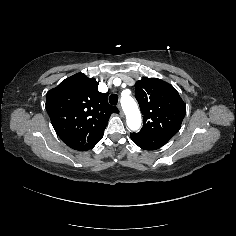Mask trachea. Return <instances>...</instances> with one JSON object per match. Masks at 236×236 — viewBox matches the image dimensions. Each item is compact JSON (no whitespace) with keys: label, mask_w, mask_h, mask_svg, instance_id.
I'll list each match as a JSON object with an SVG mask.
<instances>
[{"label":"trachea","mask_w":236,"mask_h":236,"mask_svg":"<svg viewBox=\"0 0 236 236\" xmlns=\"http://www.w3.org/2000/svg\"><path fill=\"white\" fill-rule=\"evenodd\" d=\"M118 99H119V97H118L117 94H111L110 97H109V103L111 105L115 106L117 104V102H118Z\"/></svg>","instance_id":"trachea-1"}]
</instances>
